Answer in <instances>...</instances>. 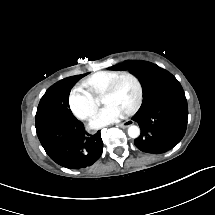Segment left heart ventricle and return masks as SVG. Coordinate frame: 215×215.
<instances>
[{
  "label": "left heart ventricle",
  "mask_w": 215,
  "mask_h": 215,
  "mask_svg": "<svg viewBox=\"0 0 215 215\" xmlns=\"http://www.w3.org/2000/svg\"><path fill=\"white\" fill-rule=\"evenodd\" d=\"M132 98V86L128 81H120L114 87L109 100L111 104L118 106L120 104H129Z\"/></svg>",
  "instance_id": "1"
}]
</instances>
